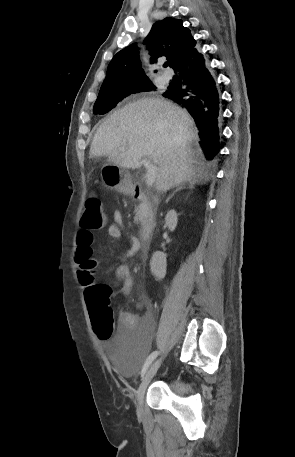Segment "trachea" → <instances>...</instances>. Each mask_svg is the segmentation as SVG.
I'll return each mask as SVG.
<instances>
[{"instance_id": "obj_1", "label": "trachea", "mask_w": 295, "mask_h": 457, "mask_svg": "<svg viewBox=\"0 0 295 457\" xmlns=\"http://www.w3.org/2000/svg\"><path fill=\"white\" fill-rule=\"evenodd\" d=\"M167 66H168V63H167V62H165V63H164V67H167Z\"/></svg>"}]
</instances>
